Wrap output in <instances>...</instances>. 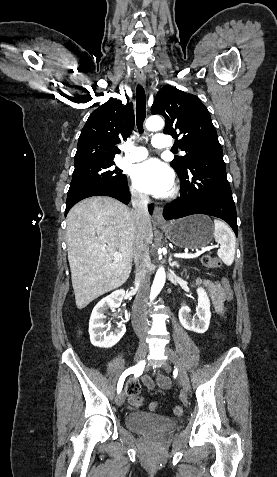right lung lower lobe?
Returning a JSON list of instances; mask_svg holds the SVG:
<instances>
[{
    "mask_svg": "<svg viewBox=\"0 0 277 477\" xmlns=\"http://www.w3.org/2000/svg\"><path fill=\"white\" fill-rule=\"evenodd\" d=\"M91 196H110L123 202L124 204H128L130 202V193H129L128 185L121 188L96 187V188L87 190L79 194L78 196H76L73 200L66 202L65 216L77 202ZM153 207H154L153 204H150L148 206L150 214H152L153 212Z\"/></svg>",
    "mask_w": 277,
    "mask_h": 477,
    "instance_id": "98d812e1",
    "label": "right lung lower lobe"
}]
</instances>
